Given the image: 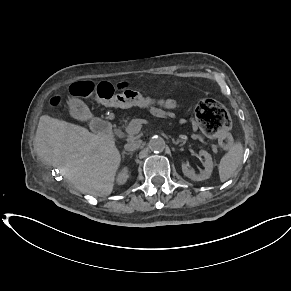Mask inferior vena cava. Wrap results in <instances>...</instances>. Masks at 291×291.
I'll return each instance as SVG.
<instances>
[{
  "label": "inferior vena cava",
  "instance_id": "1",
  "mask_svg": "<svg viewBox=\"0 0 291 291\" xmlns=\"http://www.w3.org/2000/svg\"><path fill=\"white\" fill-rule=\"evenodd\" d=\"M141 144H142L141 140H134L125 144L124 148L127 151H135L141 146Z\"/></svg>",
  "mask_w": 291,
  "mask_h": 291
}]
</instances>
